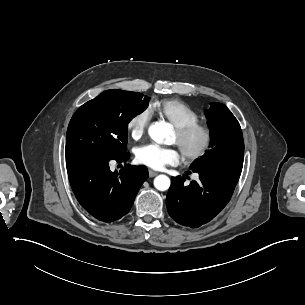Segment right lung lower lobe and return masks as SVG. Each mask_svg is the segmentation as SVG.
Returning a JSON list of instances; mask_svg holds the SVG:
<instances>
[{
  "mask_svg": "<svg viewBox=\"0 0 305 305\" xmlns=\"http://www.w3.org/2000/svg\"><path fill=\"white\" fill-rule=\"evenodd\" d=\"M129 157L128 152L111 159L66 157L69 181L77 200L100 221L112 222L126 215L141 185L148 178L145 166L126 165L119 173L110 170V160L125 162Z\"/></svg>",
  "mask_w": 305,
  "mask_h": 305,
  "instance_id": "1",
  "label": "right lung lower lobe"
}]
</instances>
